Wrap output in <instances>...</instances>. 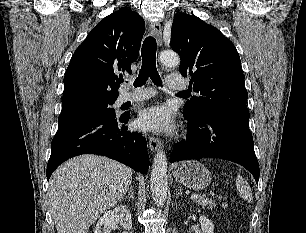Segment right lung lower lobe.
<instances>
[{
  "instance_id": "obj_1",
  "label": "right lung lower lobe",
  "mask_w": 306,
  "mask_h": 233,
  "mask_svg": "<svg viewBox=\"0 0 306 233\" xmlns=\"http://www.w3.org/2000/svg\"><path fill=\"white\" fill-rule=\"evenodd\" d=\"M129 117L94 115L59 126L51 143L47 179L61 163L80 154L107 156L146 174L147 142L141 133L127 130Z\"/></svg>"
}]
</instances>
